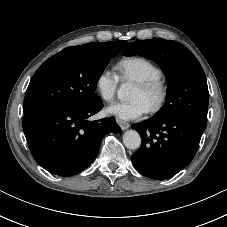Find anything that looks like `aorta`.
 <instances>
[{"label": "aorta", "instance_id": "obj_1", "mask_svg": "<svg viewBox=\"0 0 227 227\" xmlns=\"http://www.w3.org/2000/svg\"><path fill=\"white\" fill-rule=\"evenodd\" d=\"M132 87L128 83H122L117 91L118 97L126 100L130 97ZM123 144L130 150L138 149L141 145V137L135 130H128L123 135Z\"/></svg>", "mask_w": 227, "mask_h": 227}]
</instances>
